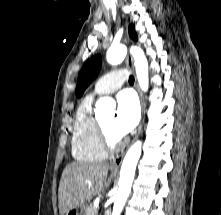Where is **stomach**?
Returning <instances> with one entry per match:
<instances>
[{
  "label": "stomach",
  "instance_id": "0dacf381",
  "mask_svg": "<svg viewBox=\"0 0 221 215\" xmlns=\"http://www.w3.org/2000/svg\"><path fill=\"white\" fill-rule=\"evenodd\" d=\"M86 206L76 207L70 211H68L65 215H85L86 213Z\"/></svg>",
  "mask_w": 221,
  "mask_h": 215
}]
</instances>
